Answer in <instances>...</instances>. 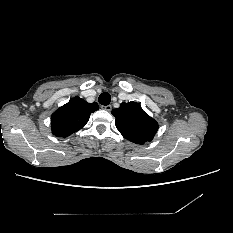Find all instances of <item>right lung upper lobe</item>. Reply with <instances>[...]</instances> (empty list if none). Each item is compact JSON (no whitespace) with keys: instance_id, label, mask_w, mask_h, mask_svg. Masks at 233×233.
<instances>
[{"instance_id":"1","label":"right lung upper lobe","mask_w":233,"mask_h":233,"mask_svg":"<svg viewBox=\"0 0 233 233\" xmlns=\"http://www.w3.org/2000/svg\"><path fill=\"white\" fill-rule=\"evenodd\" d=\"M99 109L96 102L87 103L75 97L57 109L51 117L52 133L57 137H67L80 130L88 122L90 114Z\"/></svg>"}]
</instances>
